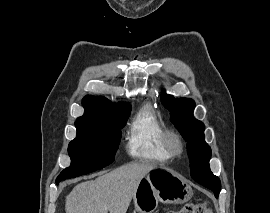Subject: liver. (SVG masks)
Here are the masks:
<instances>
[{"label": "liver", "instance_id": "1", "mask_svg": "<svg viewBox=\"0 0 270 213\" xmlns=\"http://www.w3.org/2000/svg\"><path fill=\"white\" fill-rule=\"evenodd\" d=\"M153 169L150 163H131L77 184L66 197V213H126L140 181Z\"/></svg>", "mask_w": 270, "mask_h": 213}]
</instances>
